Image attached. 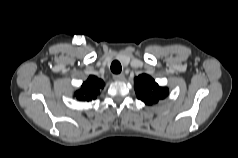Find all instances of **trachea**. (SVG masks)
Here are the masks:
<instances>
[{"mask_svg": "<svg viewBox=\"0 0 238 158\" xmlns=\"http://www.w3.org/2000/svg\"><path fill=\"white\" fill-rule=\"evenodd\" d=\"M122 70V67H121V64L119 61H114L112 62L111 64V71L114 73V74H119Z\"/></svg>", "mask_w": 238, "mask_h": 158, "instance_id": "1", "label": "trachea"}]
</instances>
